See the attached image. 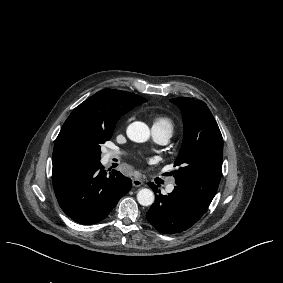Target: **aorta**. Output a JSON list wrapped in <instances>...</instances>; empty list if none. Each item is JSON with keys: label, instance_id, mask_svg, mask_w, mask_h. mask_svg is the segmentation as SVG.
Listing matches in <instances>:
<instances>
[{"label": "aorta", "instance_id": "obj_1", "mask_svg": "<svg viewBox=\"0 0 283 283\" xmlns=\"http://www.w3.org/2000/svg\"><path fill=\"white\" fill-rule=\"evenodd\" d=\"M127 136L130 140L143 143L146 142L150 137L149 127L143 122H133L127 128ZM155 196L152 190L142 188L137 193V201L142 206H150L154 203Z\"/></svg>", "mask_w": 283, "mask_h": 283}]
</instances>
